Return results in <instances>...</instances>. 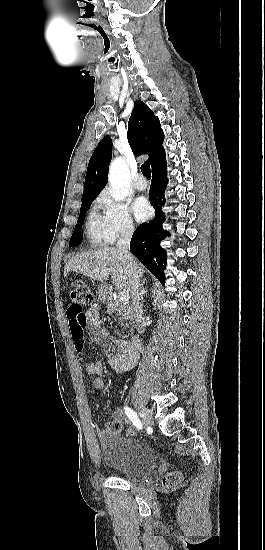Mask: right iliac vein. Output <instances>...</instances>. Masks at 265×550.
Returning <instances> with one entry per match:
<instances>
[{"mask_svg":"<svg viewBox=\"0 0 265 550\" xmlns=\"http://www.w3.org/2000/svg\"><path fill=\"white\" fill-rule=\"evenodd\" d=\"M140 414L144 425L148 426L152 424L153 422L152 412L148 408L141 406Z\"/></svg>","mask_w":265,"mask_h":550,"instance_id":"1","label":"right iliac vein"}]
</instances>
